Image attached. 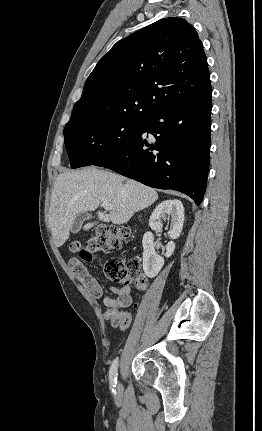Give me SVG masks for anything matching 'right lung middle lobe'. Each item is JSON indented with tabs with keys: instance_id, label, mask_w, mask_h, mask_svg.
Returning <instances> with one entry per match:
<instances>
[{
	"instance_id": "right-lung-middle-lobe-1",
	"label": "right lung middle lobe",
	"mask_w": 262,
	"mask_h": 431,
	"mask_svg": "<svg viewBox=\"0 0 262 431\" xmlns=\"http://www.w3.org/2000/svg\"><path fill=\"white\" fill-rule=\"evenodd\" d=\"M145 118L115 117L84 121L64 129L71 168L93 165L108 157L141 129Z\"/></svg>"
}]
</instances>
